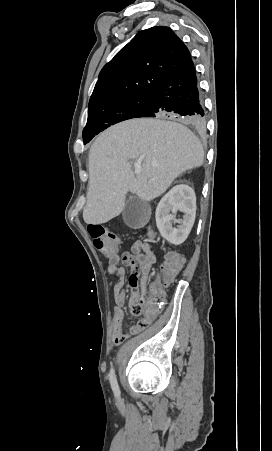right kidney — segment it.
Segmentation results:
<instances>
[{"instance_id": "1", "label": "right kidney", "mask_w": 272, "mask_h": 451, "mask_svg": "<svg viewBox=\"0 0 272 451\" xmlns=\"http://www.w3.org/2000/svg\"><path fill=\"white\" fill-rule=\"evenodd\" d=\"M183 212V220H175L176 212ZM172 212V214H170ZM196 216V196L194 190L186 184L174 186L163 196L156 208V226L161 235L170 243L179 245L187 239ZM173 224L180 226L173 227Z\"/></svg>"}]
</instances>
